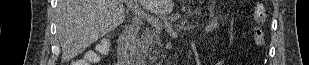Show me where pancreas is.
<instances>
[{
    "label": "pancreas",
    "mask_w": 309,
    "mask_h": 65,
    "mask_svg": "<svg viewBox=\"0 0 309 65\" xmlns=\"http://www.w3.org/2000/svg\"><path fill=\"white\" fill-rule=\"evenodd\" d=\"M161 26L159 29L155 27L145 31L137 40V50L147 54L148 51L152 54H157L161 45Z\"/></svg>",
    "instance_id": "pancreas-1"
}]
</instances>
